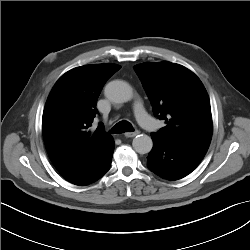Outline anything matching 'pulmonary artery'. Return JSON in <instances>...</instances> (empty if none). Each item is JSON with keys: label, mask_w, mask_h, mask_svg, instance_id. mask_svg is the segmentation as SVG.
<instances>
[{"label": "pulmonary artery", "mask_w": 250, "mask_h": 250, "mask_svg": "<svg viewBox=\"0 0 250 250\" xmlns=\"http://www.w3.org/2000/svg\"><path fill=\"white\" fill-rule=\"evenodd\" d=\"M134 113L137 118V121L139 124L146 128L149 129L152 127L154 124L153 119L150 117V115L146 112L145 108L143 107L141 102H137L134 105Z\"/></svg>", "instance_id": "e3ab8cb5"}]
</instances>
